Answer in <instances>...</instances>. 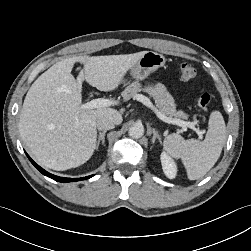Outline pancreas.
<instances>
[{"label":"pancreas","mask_w":251,"mask_h":251,"mask_svg":"<svg viewBox=\"0 0 251 251\" xmlns=\"http://www.w3.org/2000/svg\"><path fill=\"white\" fill-rule=\"evenodd\" d=\"M146 92L152 96L160 111L169 116L186 119L187 115L183 111H176V105L173 97L169 94L166 88L162 85L147 84L144 88L142 85L135 81L125 88L122 92V97L125 101L134 98L138 92Z\"/></svg>","instance_id":"cf45deb5"}]
</instances>
